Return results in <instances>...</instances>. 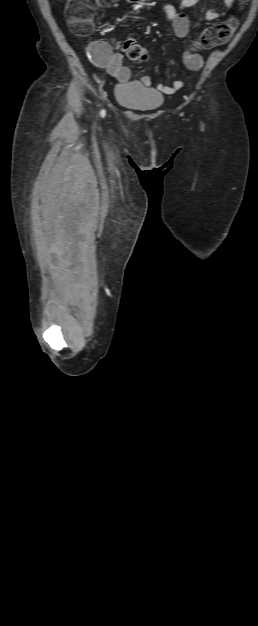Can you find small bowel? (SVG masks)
<instances>
[{
    "label": "small bowel",
    "instance_id": "c3829d8e",
    "mask_svg": "<svg viewBox=\"0 0 258 626\" xmlns=\"http://www.w3.org/2000/svg\"><path fill=\"white\" fill-rule=\"evenodd\" d=\"M200 0H181L179 9L170 3L166 2L163 6V9L166 13V16L172 23L173 30L175 34L179 38H184L187 36L189 32V19L183 10L193 7L199 3ZM226 7H231L234 3V0H222ZM221 17V12L215 9H209L204 13V18L208 21H214ZM98 49L100 51L99 55V64L104 68V70L117 79L119 82H127L130 78V70L123 66V56L116 50L111 49L110 45L107 43L98 44ZM184 63L186 67L190 70H198L203 65V58L198 54L185 53L184 54ZM142 83L150 87L151 79L149 76L145 75L142 77ZM183 86L182 81L175 80L173 81L171 86L159 84L157 85V90L159 92L165 94H172L181 89Z\"/></svg>",
    "mask_w": 258,
    "mask_h": 626
}]
</instances>
